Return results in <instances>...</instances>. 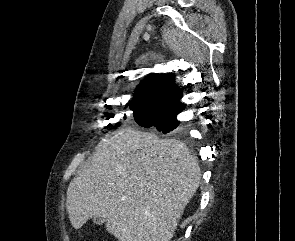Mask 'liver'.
Masks as SVG:
<instances>
[{
	"mask_svg": "<svg viewBox=\"0 0 295 241\" xmlns=\"http://www.w3.org/2000/svg\"><path fill=\"white\" fill-rule=\"evenodd\" d=\"M200 180L183 142L123 128L70 182L66 208L75 229L102 217L119 241H170Z\"/></svg>",
	"mask_w": 295,
	"mask_h": 241,
	"instance_id": "6515ba94",
	"label": "liver"
}]
</instances>
